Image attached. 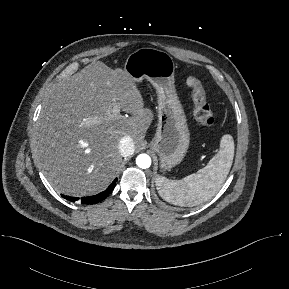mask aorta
<instances>
[{
	"instance_id": "762f6f07",
	"label": "aorta",
	"mask_w": 289,
	"mask_h": 289,
	"mask_svg": "<svg viewBox=\"0 0 289 289\" xmlns=\"http://www.w3.org/2000/svg\"><path fill=\"white\" fill-rule=\"evenodd\" d=\"M136 164L142 169L149 168L151 166V158L147 154H140L136 158Z\"/></svg>"
}]
</instances>
